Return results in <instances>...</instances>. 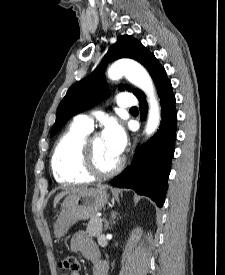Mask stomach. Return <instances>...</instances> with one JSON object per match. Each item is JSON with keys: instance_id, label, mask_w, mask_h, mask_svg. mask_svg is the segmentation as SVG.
I'll use <instances>...</instances> for the list:
<instances>
[{"instance_id": "1", "label": "stomach", "mask_w": 225, "mask_h": 275, "mask_svg": "<svg viewBox=\"0 0 225 275\" xmlns=\"http://www.w3.org/2000/svg\"><path fill=\"white\" fill-rule=\"evenodd\" d=\"M109 195L105 187L91 188L68 195L60 204L59 215L54 223V233L63 236L80 220H87L101 211Z\"/></svg>"}]
</instances>
